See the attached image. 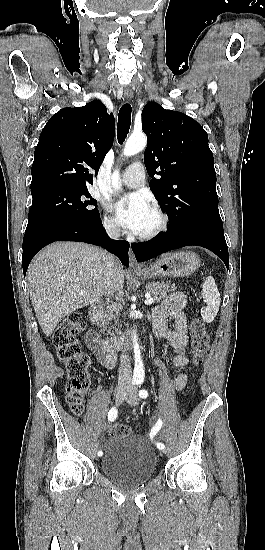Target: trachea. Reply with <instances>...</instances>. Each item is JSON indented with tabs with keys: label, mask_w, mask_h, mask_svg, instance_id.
I'll list each match as a JSON object with an SVG mask.
<instances>
[{
	"label": "trachea",
	"mask_w": 265,
	"mask_h": 550,
	"mask_svg": "<svg viewBox=\"0 0 265 550\" xmlns=\"http://www.w3.org/2000/svg\"><path fill=\"white\" fill-rule=\"evenodd\" d=\"M131 111L132 108L129 103L123 104L120 108L117 126V138L120 144L124 142L129 132L131 124Z\"/></svg>",
	"instance_id": "trachea-1"
}]
</instances>
